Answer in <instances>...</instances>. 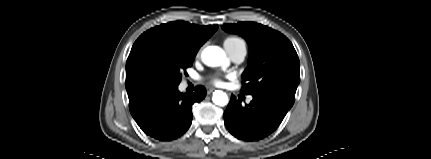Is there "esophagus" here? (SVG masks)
<instances>
[{
  "label": "esophagus",
  "instance_id": "obj_1",
  "mask_svg": "<svg viewBox=\"0 0 431 159\" xmlns=\"http://www.w3.org/2000/svg\"><path fill=\"white\" fill-rule=\"evenodd\" d=\"M214 90H215L214 88H209V89L207 90V93H208V94H211Z\"/></svg>",
  "mask_w": 431,
  "mask_h": 159
}]
</instances>
